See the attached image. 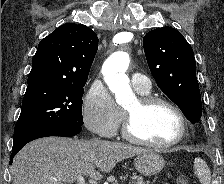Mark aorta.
Masks as SVG:
<instances>
[{
    "mask_svg": "<svg viewBox=\"0 0 224 184\" xmlns=\"http://www.w3.org/2000/svg\"><path fill=\"white\" fill-rule=\"evenodd\" d=\"M129 63L130 58L126 52H115L104 62L102 67L104 80L109 89L115 93L118 104H125L134 96L126 75Z\"/></svg>",
    "mask_w": 224,
    "mask_h": 184,
    "instance_id": "762f6f07",
    "label": "aorta"
}]
</instances>
